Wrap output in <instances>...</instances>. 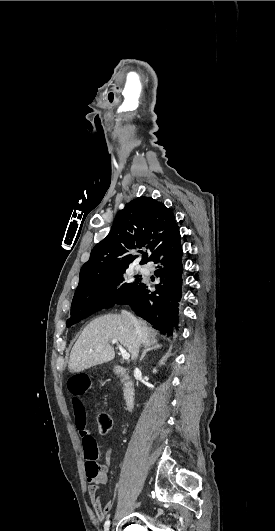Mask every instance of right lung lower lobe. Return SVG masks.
I'll use <instances>...</instances> for the list:
<instances>
[{"instance_id": "obj_1", "label": "right lung lower lobe", "mask_w": 275, "mask_h": 531, "mask_svg": "<svg viewBox=\"0 0 275 531\" xmlns=\"http://www.w3.org/2000/svg\"><path fill=\"white\" fill-rule=\"evenodd\" d=\"M180 237L177 227L150 257L149 261L157 264L155 275L160 278L155 290L141 281L123 302L167 336L178 326L183 272Z\"/></svg>"}]
</instances>
